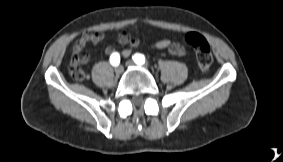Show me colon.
<instances>
[{"mask_svg": "<svg viewBox=\"0 0 283 162\" xmlns=\"http://www.w3.org/2000/svg\"><path fill=\"white\" fill-rule=\"evenodd\" d=\"M185 41L195 50L200 71L203 73L207 72L213 61L208 41L201 34L195 32L186 34ZM70 74L75 80H83L85 78V73L81 69H72Z\"/></svg>", "mask_w": 283, "mask_h": 162, "instance_id": "5ec220e1", "label": "colon"}]
</instances>
